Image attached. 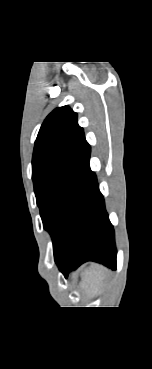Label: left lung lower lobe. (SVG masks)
I'll return each instance as SVG.
<instances>
[{"label": "left lung lower lobe", "instance_id": "left-lung-lower-lobe-1", "mask_svg": "<svg viewBox=\"0 0 152 369\" xmlns=\"http://www.w3.org/2000/svg\"><path fill=\"white\" fill-rule=\"evenodd\" d=\"M86 261L116 269L114 229L105 210L96 175L89 165L55 258L65 278L71 270Z\"/></svg>", "mask_w": 152, "mask_h": 369}]
</instances>
